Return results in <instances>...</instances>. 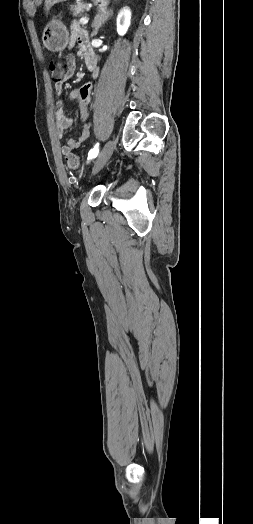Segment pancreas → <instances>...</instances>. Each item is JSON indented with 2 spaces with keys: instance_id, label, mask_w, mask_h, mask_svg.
I'll use <instances>...</instances> for the list:
<instances>
[{
  "instance_id": "obj_1",
  "label": "pancreas",
  "mask_w": 253,
  "mask_h": 524,
  "mask_svg": "<svg viewBox=\"0 0 253 524\" xmlns=\"http://www.w3.org/2000/svg\"><path fill=\"white\" fill-rule=\"evenodd\" d=\"M88 8L89 7H88L87 3L78 2V3L74 4V5H71L70 12L72 13L73 16H77V15L83 13Z\"/></svg>"
}]
</instances>
